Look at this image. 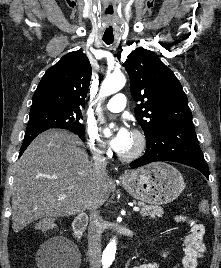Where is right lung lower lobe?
Here are the masks:
<instances>
[{
    "instance_id": "98d812e1",
    "label": "right lung lower lobe",
    "mask_w": 221,
    "mask_h": 268,
    "mask_svg": "<svg viewBox=\"0 0 221 268\" xmlns=\"http://www.w3.org/2000/svg\"><path fill=\"white\" fill-rule=\"evenodd\" d=\"M45 130H47V129L39 128V129H32V130L26 131L24 141H23V144H22L21 149H20L19 157L22 155V153L25 151V149L28 147V145L33 141V139ZM73 133L77 134L82 141L85 140L84 135H80L77 132H73Z\"/></svg>"
}]
</instances>
